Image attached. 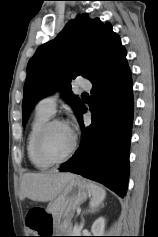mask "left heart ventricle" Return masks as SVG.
<instances>
[{
    "instance_id": "obj_1",
    "label": "left heart ventricle",
    "mask_w": 158,
    "mask_h": 237,
    "mask_svg": "<svg viewBox=\"0 0 158 237\" xmlns=\"http://www.w3.org/2000/svg\"><path fill=\"white\" fill-rule=\"evenodd\" d=\"M72 133L66 125L58 124L52 127L45 139L46 152L54 157L64 156L72 144Z\"/></svg>"
}]
</instances>
